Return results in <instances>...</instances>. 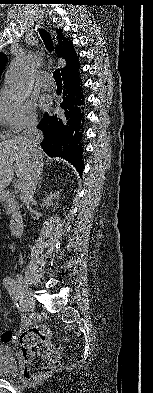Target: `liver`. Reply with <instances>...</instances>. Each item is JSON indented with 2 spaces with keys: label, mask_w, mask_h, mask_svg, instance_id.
<instances>
[{
  "label": "liver",
  "mask_w": 153,
  "mask_h": 393,
  "mask_svg": "<svg viewBox=\"0 0 153 393\" xmlns=\"http://www.w3.org/2000/svg\"><path fill=\"white\" fill-rule=\"evenodd\" d=\"M43 157L40 148L36 151L29 148L27 137L18 136L0 142V194L15 175L22 186L36 161L42 162Z\"/></svg>",
  "instance_id": "liver-1"
}]
</instances>
